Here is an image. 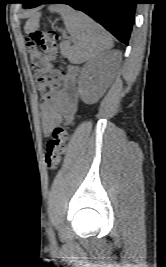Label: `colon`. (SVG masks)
I'll use <instances>...</instances> for the list:
<instances>
[{"mask_svg": "<svg viewBox=\"0 0 166 267\" xmlns=\"http://www.w3.org/2000/svg\"><path fill=\"white\" fill-rule=\"evenodd\" d=\"M62 33L55 29H38L27 37V49L31 66L37 77L39 92L43 99H50L60 80V74L52 69V63L59 59L57 43ZM69 139L68 128L64 123L56 126L45 150V164L55 169L63 158Z\"/></svg>", "mask_w": 166, "mask_h": 267, "instance_id": "colon-1", "label": "colon"}]
</instances>
